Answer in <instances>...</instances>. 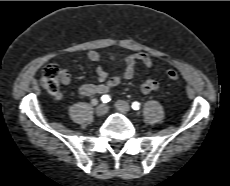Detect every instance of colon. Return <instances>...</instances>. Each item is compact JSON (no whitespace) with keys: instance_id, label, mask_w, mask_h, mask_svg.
<instances>
[{"instance_id":"obj_1","label":"colon","mask_w":230,"mask_h":186,"mask_svg":"<svg viewBox=\"0 0 230 186\" xmlns=\"http://www.w3.org/2000/svg\"><path fill=\"white\" fill-rule=\"evenodd\" d=\"M166 76L170 80H178L179 74L176 70L168 69ZM40 82L42 87L51 94H56L59 89V69L54 64H47L43 67Z\"/></svg>"}]
</instances>
